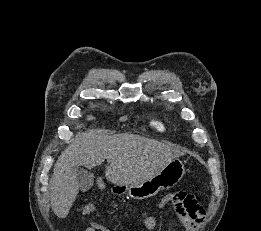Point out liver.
I'll list each match as a JSON object with an SVG mask.
<instances>
[{
	"instance_id": "1",
	"label": "liver",
	"mask_w": 261,
	"mask_h": 231,
	"mask_svg": "<svg viewBox=\"0 0 261 231\" xmlns=\"http://www.w3.org/2000/svg\"><path fill=\"white\" fill-rule=\"evenodd\" d=\"M184 155L177 146L134 134L105 135L99 130L79 134L58 158L50 180L52 211L66 218L79 193L76 171L92 169L107 160L105 177L115 185L142 183L173 159Z\"/></svg>"
}]
</instances>
